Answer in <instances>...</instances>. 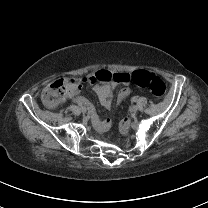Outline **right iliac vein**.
<instances>
[{
  "label": "right iliac vein",
  "instance_id": "1",
  "mask_svg": "<svg viewBox=\"0 0 208 208\" xmlns=\"http://www.w3.org/2000/svg\"><path fill=\"white\" fill-rule=\"evenodd\" d=\"M81 112H82L83 114H85V113L87 112L86 108H85V107L81 108Z\"/></svg>",
  "mask_w": 208,
  "mask_h": 208
}]
</instances>
